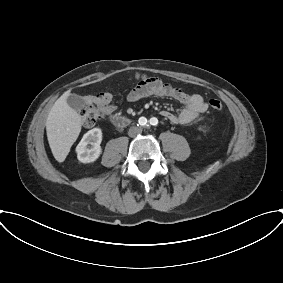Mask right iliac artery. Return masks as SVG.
<instances>
[{
  "label": "right iliac artery",
  "instance_id": "obj_1",
  "mask_svg": "<svg viewBox=\"0 0 283 283\" xmlns=\"http://www.w3.org/2000/svg\"><path fill=\"white\" fill-rule=\"evenodd\" d=\"M139 123H140L141 125H146L147 119H146L145 117H141V118L139 119Z\"/></svg>",
  "mask_w": 283,
  "mask_h": 283
}]
</instances>
